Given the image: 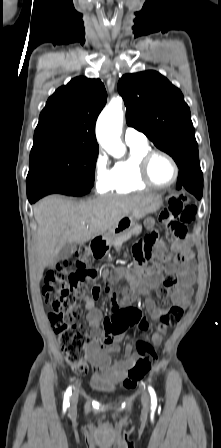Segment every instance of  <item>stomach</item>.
Wrapping results in <instances>:
<instances>
[{"instance_id":"0dacf381","label":"stomach","mask_w":221,"mask_h":448,"mask_svg":"<svg viewBox=\"0 0 221 448\" xmlns=\"http://www.w3.org/2000/svg\"><path fill=\"white\" fill-rule=\"evenodd\" d=\"M161 205V196L153 195L146 202L142 203L139 207L132 211L129 215L123 217L115 227L108 231V233L105 235V239L109 243H113L116 238L126 233L135 224L136 221L140 220L150 213L156 212L161 207Z\"/></svg>"}]
</instances>
